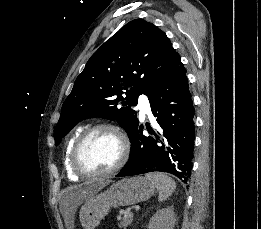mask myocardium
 <instances>
[{"label":"myocardium","mask_w":261,"mask_h":229,"mask_svg":"<svg viewBox=\"0 0 261 229\" xmlns=\"http://www.w3.org/2000/svg\"><path fill=\"white\" fill-rule=\"evenodd\" d=\"M109 131L114 133L120 143L121 153L117 163L105 171H93L84 167L80 161V152L86 141L95 133L99 131ZM130 154L129 139L120 127L112 124H99L85 129L74 142L71 148L70 164L72 168L83 177H103L114 174L119 171L127 162Z\"/></svg>","instance_id":"obj_1"}]
</instances>
